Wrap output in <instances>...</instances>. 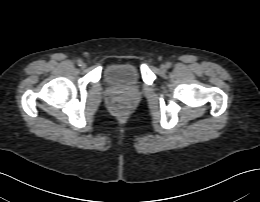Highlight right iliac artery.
<instances>
[{"label": "right iliac artery", "instance_id": "82829eb1", "mask_svg": "<svg viewBox=\"0 0 260 202\" xmlns=\"http://www.w3.org/2000/svg\"><path fill=\"white\" fill-rule=\"evenodd\" d=\"M77 64H78V66H81L82 60L79 59V60L77 61Z\"/></svg>", "mask_w": 260, "mask_h": 202}]
</instances>
